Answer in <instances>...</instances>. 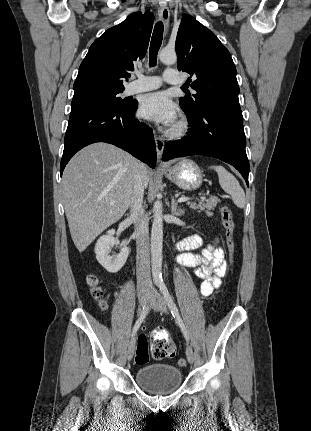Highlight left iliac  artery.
I'll return each instance as SVG.
<instances>
[{
  "label": "left iliac artery",
  "mask_w": 311,
  "mask_h": 431,
  "mask_svg": "<svg viewBox=\"0 0 311 431\" xmlns=\"http://www.w3.org/2000/svg\"><path fill=\"white\" fill-rule=\"evenodd\" d=\"M159 288H160L161 293L163 294L165 302L167 303L169 309L171 310L172 316L174 317L175 321L177 322V324L181 328V331H182L185 339L187 341H189V335H188L187 329H186V327H185V325L181 319L178 308H177L173 298L171 297L166 285L163 282H160Z\"/></svg>",
  "instance_id": "obj_1"
}]
</instances>
